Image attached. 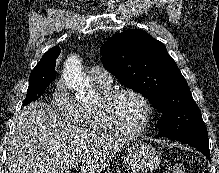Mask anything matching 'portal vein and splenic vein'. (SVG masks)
I'll return each instance as SVG.
<instances>
[{
  "label": "portal vein and splenic vein",
  "mask_w": 219,
  "mask_h": 173,
  "mask_svg": "<svg viewBox=\"0 0 219 173\" xmlns=\"http://www.w3.org/2000/svg\"><path fill=\"white\" fill-rule=\"evenodd\" d=\"M72 166H73L74 168H76V167L78 166V163H74Z\"/></svg>",
  "instance_id": "18ae733b"
}]
</instances>
